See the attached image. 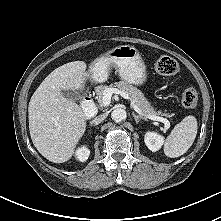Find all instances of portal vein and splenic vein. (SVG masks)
<instances>
[{
    "label": "portal vein and splenic vein",
    "mask_w": 221,
    "mask_h": 221,
    "mask_svg": "<svg viewBox=\"0 0 221 221\" xmlns=\"http://www.w3.org/2000/svg\"><path fill=\"white\" fill-rule=\"evenodd\" d=\"M113 94L120 95L125 99H130L132 108L138 114L144 115L151 120H155V121H159V122L164 123L166 129H168L170 127V122L166 118H163V117H160L157 115H147V114L143 113L142 110L137 105H135V103L132 101V99L129 97V95L127 93L120 91L117 88H109L104 91L103 97H102V101H103L104 106H109V104L111 103V97Z\"/></svg>",
    "instance_id": "1"
}]
</instances>
